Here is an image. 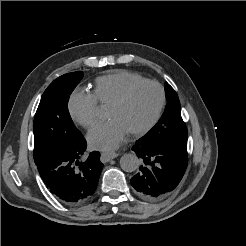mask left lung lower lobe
<instances>
[{
  "label": "left lung lower lobe",
  "instance_id": "left-lung-lower-lobe-1",
  "mask_svg": "<svg viewBox=\"0 0 246 246\" xmlns=\"http://www.w3.org/2000/svg\"><path fill=\"white\" fill-rule=\"evenodd\" d=\"M132 149L142 159L140 171L130 181L139 196L158 199L176 188L188 163L187 139L149 142L141 138Z\"/></svg>",
  "mask_w": 246,
  "mask_h": 246
}]
</instances>
